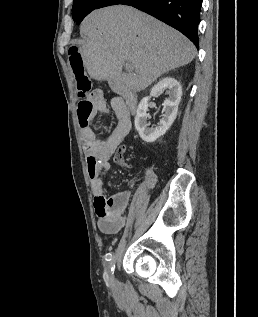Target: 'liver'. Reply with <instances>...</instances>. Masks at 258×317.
<instances>
[{"instance_id": "liver-1", "label": "liver", "mask_w": 258, "mask_h": 317, "mask_svg": "<svg viewBox=\"0 0 258 317\" xmlns=\"http://www.w3.org/2000/svg\"><path fill=\"white\" fill-rule=\"evenodd\" d=\"M83 64L91 78L112 90H143L158 76L191 62L196 48L184 34L133 6L97 8L80 24ZM128 60L129 72H121Z\"/></svg>"}]
</instances>
